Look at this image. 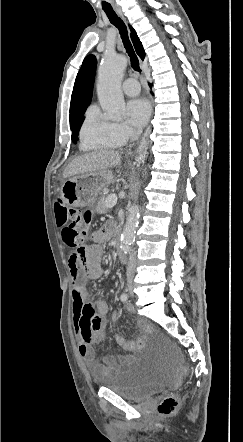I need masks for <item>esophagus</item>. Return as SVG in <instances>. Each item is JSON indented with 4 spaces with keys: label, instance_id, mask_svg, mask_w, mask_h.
Listing matches in <instances>:
<instances>
[{
    "label": "esophagus",
    "instance_id": "34e87169",
    "mask_svg": "<svg viewBox=\"0 0 243 442\" xmlns=\"http://www.w3.org/2000/svg\"><path fill=\"white\" fill-rule=\"evenodd\" d=\"M117 13L123 18V13L120 9H117ZM151 132V125L149 124L142 136V138L140 139L138 146L136 148L135 151V156L136 157H143V154H145L147 152L148 149V141H149V134Z\"/></svg>",
    "mask_w": 243,
    "mask_h": 442
}]
</instances>
